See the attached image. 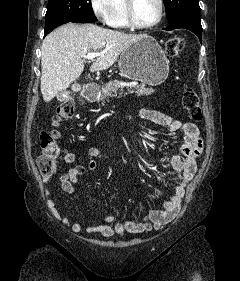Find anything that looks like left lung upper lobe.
Instances as JSON below:
<instances>
[{"mask_svg": "<svg viewBox=\"0 0 240 281\" xmlns=\"http://www.w3.org/2000/svg\"><path fill=\"white\" fill-rule=\"evenodd\" d=\"M166 16L170 23L181 18L200 19L198 0H164Z\"/></svg>", "mask_w": 240, "mask_h": 281, "instance_id": "1", "label": "left lung upper lobe"}]
</instances>
